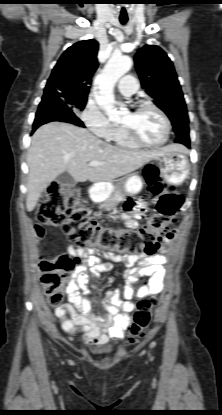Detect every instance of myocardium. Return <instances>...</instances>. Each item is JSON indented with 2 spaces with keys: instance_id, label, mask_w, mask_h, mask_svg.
Wrapping results in <instances>:
<instances>
[{
  "instance_id": "1",
  "label": "myocardium",
  "mask_w": 222,
  "mask_h": 415,
  "mask_svg": "<svg viewBox=\"0 0 222 415\" xmlns=\"http://www.w3.org/2000/svg\"><path fill=\"white\" fill-rule=\"evenodd\" d=\"M144 108H151L153 110H155L163 119L164 123H165V136L164 138L157 143H149L144 141L135 131V129L133 127H131L130 125L127 124H122V127L124 128L126 134L128 135V137L138 146L141 147H145V148H158V147H162L164 145L167 144V142L169 141L170 138V134H171V129H172V124H171V120L168 117V115L156 104L147 101V100H142L136 103L133 111L137 112L139 110H142Z\"/></svg>"
}]
</instances>
